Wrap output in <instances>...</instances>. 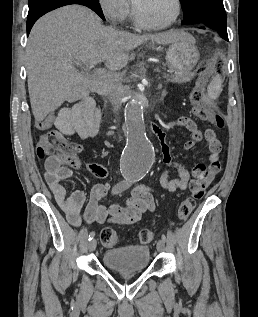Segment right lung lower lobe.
I'll use <instances>...</instances> for the list:
<instances>
[{
	"mask_svg": "<svg viewBox=\"0 0 258 317\" xmlns=\"http://www.w3.org/2000/svg\"><path fill=\"white\" fill-rule=\"evenodd\" d=\"M70 4L87 6L105 20L99 0H28L27 35H29L32 26L42 15Z\"/></svg>",
	"mask_w": 258,
	"mask_h": 317,
	"instance_id": "obj_1",
	"label": "right lung lower lobe"
}]
</instances>
